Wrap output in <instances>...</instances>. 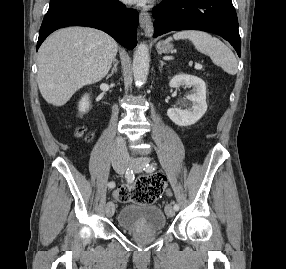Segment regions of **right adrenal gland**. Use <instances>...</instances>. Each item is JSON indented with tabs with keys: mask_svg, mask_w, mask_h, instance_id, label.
I'll list each match as a JSON object with an SVG mask.
<instances>
[{
	"mask_svg": "<svg viewBox=\"0 0 286 269\" xmlns=\"http://www.w3.org/2000/svg\"><path fill=\"white\" fill-rule=\"evenodd\" d=\"M117 66H118V60L114 59L113 60V68L111 70V73L108 75V77H111L114 73L117 72Z\"/></svg>",
	"mask_w": 286,
	"mask_h": 269,
	"instance_id": "obj_1",
	"label": "right adrenal gland"
}]
</instances>
